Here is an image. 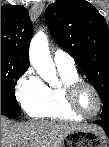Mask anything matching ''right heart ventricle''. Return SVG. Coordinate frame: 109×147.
Listing matches in <instances>:
<instances>
[{
  "label": "right heart ventricle",
  "mask_w": 109,
  "mask_h": 147,
  "mask_svg": "<svg viewBox=\"0 0 109 147\" xmlns=\"http://www.w3.org/2000/svg\"><path fill=\"white\" fill-rule=\"evenodd\" d=\"M58 69L61 77L60 86L47 87L48 101L42 105L32 106L24 110L34 118H48L57 121H81L82 118L74 114L68 107L65 87L70 82L79 79L76 69Z\"/></svg>",
  "instance_id": "e07e8e85"
}]
</instances>
